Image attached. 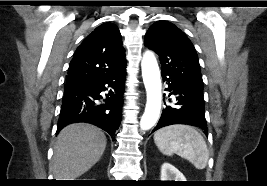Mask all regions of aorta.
<instances>
[{"label": "aorta", "mask_w": 267, "mask_h": 186, "mask_svg": "<svg viewBox=\"0 0 267 186\" xmlns=\"http://www.w3.org/2000/svg\"><path fill=\"white\" fill-rule=\"evenodd\" d=\"M141 68L147 93V102L145 112L140 121V127L142 130H149L158 121L162 100L160 71L152 52H145L141 62Z\"/></svg>", "instance_id": "obj_1"}]
</instances>
